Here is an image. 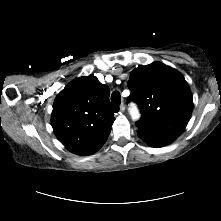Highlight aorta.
<instances>
[{"label":"aorta","instance_id":"762f6f07","mask_svg":"<svg viewBox=\"0 0 221 221\" xmlns=\"http://www.w3.org/2000/svg\"><path fill=\"white\" fill-rule=\"evenodd\" d=\"M131 115H132V118L134 120H136V119H138L140 117V114H139V112H138V110L136 108H133L131 110Z\"/></svg>","mask_w":221,"mask_h":221}]
</instances>
